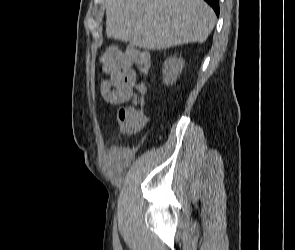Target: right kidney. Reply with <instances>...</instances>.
Segmentation results:
<instances>
[{
	"label": "right kidney",
	"mask_w": 295,
	"mask_h": 250,
	"mask_svg": "<svg viewBox=\"0 0 295 250\" xmlns=\"http://www.w3.org/2000/svg\"><path fill=\"white\" fill-rule=\"evenodd\" d=\"M185 62L183 58L172 57L165 61L163 69V82L172 85L182 72Z\"/></svg>",
	"instance_id": "1"
}]
</instances>
